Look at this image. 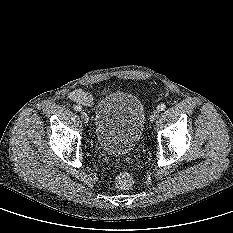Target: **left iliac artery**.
I'll return each mask as SVG.
<instances>
[{"label":"left iliac artery","instance_id":"obj_1","mask_svg":"<svg viewBox=\"0 0 233 233\" xmlns=\"http://www.w3.org/2000/svg\"><path fill=\"white\" fill-rule=\"evenodd\" d=\"M166 109V106L164 105V104H160V105H158V107H157V110L158 111H163V110H165Z\"/></svg>","mask_w":233,"mask_h":233}]
</instances>
